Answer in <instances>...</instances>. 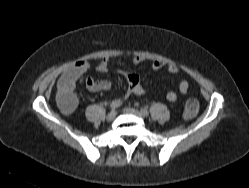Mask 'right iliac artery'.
<instances>
[{
  "mask_svg": "<svg viewBox=\"0 0 249 188\" xmlns=\"http://www.w3.org/2000/svg\"><path fill=\"white\" fill-rule=\"evenodd\" d=\"M121 105H122V102L120 100H115V101H112V103L110 104V108L116 109L120 107Z\"/></svg>",
  "mask_w": 249,
  "mask_h": 188,
  "instance_id": "obj_1",
  "label": "right iliac artery"
}]
</instances>
